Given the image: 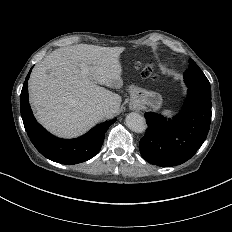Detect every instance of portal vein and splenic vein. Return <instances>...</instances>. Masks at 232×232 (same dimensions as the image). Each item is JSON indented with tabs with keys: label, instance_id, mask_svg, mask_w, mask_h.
Masks as SVG:
<instances>
[{
	"label": "portal vein and splenic vein",
	"instance_id": "portal-vein-and-splenic-vein-1",
	"mask_svg": "<svg viewBox=\"0 0 232 232\" xmlns=\"http://www.w3.org/2000/svg\"><path fill=\"white\" fill-rule=\"evenodd\" d=\"M79 67H80L81 73L83 75H88V73H89V66L87 64L81 63V64H79Z\"/></svg>",
	"mask_w": 232,
	"mask_h": 232
}]
</instances>
